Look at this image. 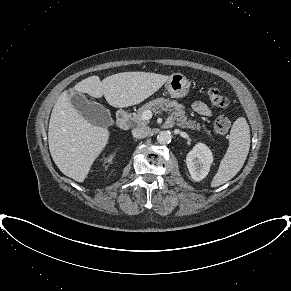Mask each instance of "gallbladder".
<instances>
[{"instance_id":"obj_1","label":"gallbladder","mask_w":291,"mask_h":291,"mask_svg":"<svg viewBox=\"0 0 291 291\" xmlns=\"http://www.w3.org/2000/svg\"><path fill=\"white\" fill-rule=\"evenodd\" d=\"M70 103L92 125L108 127L113 123L108 109L97 102L89 101L85 95L69 90Z\"/></svg>"}]
</instances>
